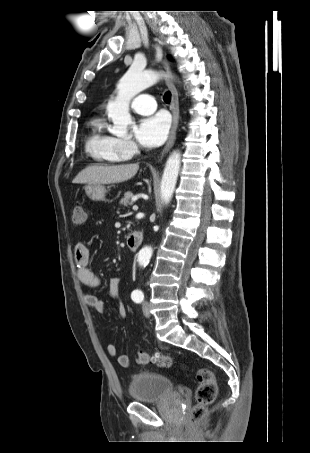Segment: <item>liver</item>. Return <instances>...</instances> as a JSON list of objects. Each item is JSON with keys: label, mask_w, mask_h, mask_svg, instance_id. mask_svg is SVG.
I'll return each mask as SVG.
<instances>
[{"label": "liver", "mask_w": 310, "mask_h": 453, "mask_svg": "<svg viewBox=\"0 0 310 453\" xmlns=\"http://www.w3.org/2000/svg\"><path fill=\"white\" fill-rule=\"evenodd\" d=\"M138 169V164L90 165L79 172L72 183L89 185L120 183L133 178Z\"/></svg>", "instance_id": "obj_1"}]
</instances>
